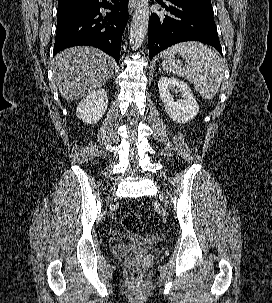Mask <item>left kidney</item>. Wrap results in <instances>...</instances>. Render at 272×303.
<instances>
[{
  "mask_svg": "<svg viewBox=\"0 0 272 303\" xmlns=\"http://www.w3.org/2000/svg\"><path fill=\"white\" fill-rule=\"evenodd\" d=\"M158 88L166 113L176 123L185 124L198 114V103L185 82L173 77H161L158 81ZM173 89L181 92L182 99H174L171 94Z\"/></svg>",
  "mask_w": 272,
  "mask_h": 303,
  "instance_id": "obj_1",
  "label": "left kidney"
}]
</instances>
